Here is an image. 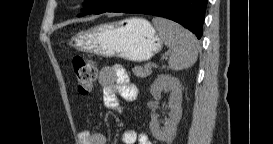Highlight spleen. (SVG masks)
I'll return each mask as SVG.
<instances>
[{"label": "spleen", "instance_id": "1", "mask_svg": "<svg viewBox=\"0 0 273 144\" xmlns=\"http://www.w3.org/2000/svg\"><path fill=\"white\" fill-rule=\"evenodd\" d=\"M162 41L172 53L169 57V68L175 71L187 69L194 65L198 57L195 36L173 21L155 17L152 20Z\"/></svg>", "mask_w": 273, "mask_h": 144}]
</instances>
